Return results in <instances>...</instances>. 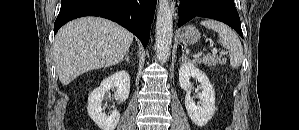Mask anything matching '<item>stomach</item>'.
<instances>
[{"label": "stomach", "mask_w": 299, "mask_h": 130, "mask_svg": "<svg viewBox=\"0 0 299 130\" xmlns=\"http://www.w3.org/2000/svg\"><path fill=\"white\" fill-rule=\"evenodd\" d=\"M200 39L199 30L191 25L185 26L179 30V40L183 44H194Z\"/></svg>", "instance_id": "obj_1"}]
</instances>
